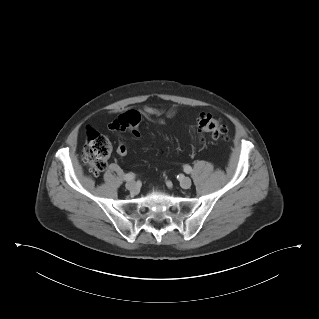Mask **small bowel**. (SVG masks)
<instances>
[{
    "label": "small bowel",
    "instance_id": "c3829d8e",
    "mask_svg": "<svg viewBox=\"0 0 319 319\" xmlns=\"http://www.w3.org/2000/svg\"><path fill=\"white\" fill-rule=\"evenodd\" d=\"M142 113L144 117L152 123L164 125L166 123V119L172 117L176 113L175 107H170L167 109L153 107V106H145L142 109ZM112 129V128H111ZM124 146V149H122ZM117 153L120 156H124L127 153V146L124 143H120L117 147Z\"/></svg>",
    "mask_w": 319,
    "mask_h": 319
}]
</instances>
